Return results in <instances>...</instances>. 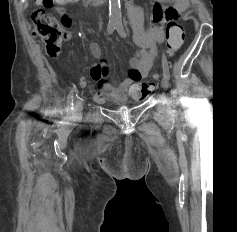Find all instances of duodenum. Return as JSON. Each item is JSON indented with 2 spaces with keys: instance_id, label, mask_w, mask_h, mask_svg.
<instances>
[{
  "instance_id": "obj_1",
  "label": "duodenum",
  "mask_w": 237,
  "mask_h": 232,
  "mask_svg": "<svg viewBox=\"0 0 237 232\" xmlns=\"http://www.w3.org/2000/svg\"><path fill=\"white\" fill-rule=\"evenodd\" d=\"M102 1L103 0H85L86 3L91 4V5H98Z\"/></svg>"
}]
</instances>
